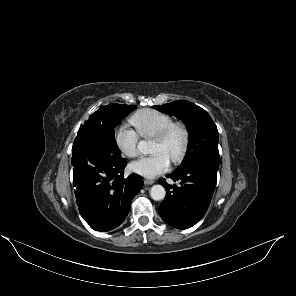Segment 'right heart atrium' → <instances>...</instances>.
I'll list each match as a JSON object with an SVG mask.
<instances>
[{
	"instance_id": "obj_1",
	"label": "right heart atrium",
	"mask_w": 296,
	"mask_h": 296,
	"mask_svg": "<svg viewBox=\"0 0 296 296\" xmlns=\"http://www.w3.org/2000/svg\"><path fill=\"white\" fill-rule=\"evenodd\" d=\"M114 140L117 148L123 155L129 158L139 155L138 133L129 126L125 124L120 125L115 131Z\"/></svg>"
}]
</instances>
